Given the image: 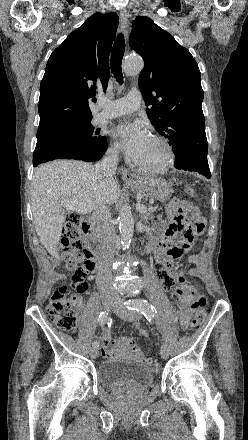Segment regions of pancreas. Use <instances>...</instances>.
<instances>
[{"label": "pancreas", "instance_id": "cf45deb5", "mask_svg": "<svg viewBox=\"0 0 248 440\" xmlns=\"http://www.w3.org/2000/svg\"><path fill=\"white\" fill-rule=\"evenodd\" d=\"M141 218L143 221L148 222V221H153L154 220V215H153V209L152 208H146V211L140 214ZM159 219L162 218V216H158Z\"/></svg>", "mask_w": 248, "mask_h": 440}]
</instances>
